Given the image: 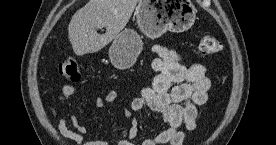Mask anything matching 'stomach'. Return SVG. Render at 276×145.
Segmentation results:
<instances>
[{"label":"stomach","mask_w":276,"mask_h":145,"mask_svg":"<svg viewBox=\"0 0 276 145\" xmlns=\"http://www.w3.org/2000/svg\"><path fill=\"white\" fill-rule=\"evenodd\" d=\"M197 10L191 0H140L136 8L139 29L148 38L155 39L167 31L182 32L192 27ZM143 42L133 29H124L115 37L109 58L120 70L134 65Z\"/></svg>","instance_id":"stomach-1"}]
</instances>
